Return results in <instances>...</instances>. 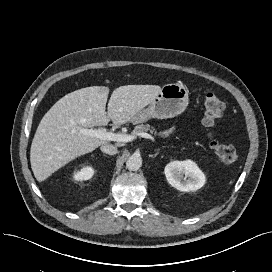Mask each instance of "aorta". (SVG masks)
Returning a JSON list of instances; mask_svg holds the SVG:
<instances>
[{
	"label": "aorta",
	"mask_w": 272,
	"mask_h": 272,
	"mask_svg": "<svg viewBox=\"0 0 272 272\" xmlns=\"http://www.w3.org/2000/svg\"><path fill=\"white\" fill-rule=\"evenodd\" d=\"M142 165V158L140 155H132L126 161V168L130 171L138 170Z\"/></svg>",
	"instance_id": "obj_1"
}]
</instances>
